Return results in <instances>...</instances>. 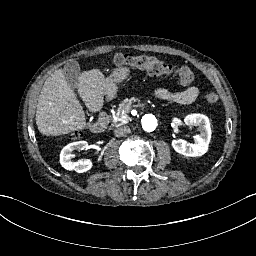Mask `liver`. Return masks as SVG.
<instances>
[{
  "label": "liver",
  "instance_id": "6515ba94",
  "mask_svg": "<svg viewBox=\"0 0 256 256\" xmlns=\"http://www.w3.org/2000/svg\"><path fill=\"white\" fill-rule=\"evenodd\" d=\"M118 71V74L114 71V75L122 74V69ZM116 83V80L105 78L99 69H92L81 74L76 88L89 111L97 112L103 107L104 95L107 101L116 97ZM35 119L39 132L46 136L68 134L86 127L83 108L61 69L44 82Z\"/></svg>",
  "mask_w": 256,
  "mask_h": 256
}]
</instances>
